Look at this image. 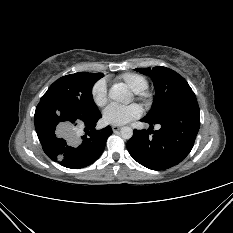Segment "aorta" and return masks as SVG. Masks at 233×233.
I'll return each instance as SVG.
<instances>
[{"instance_id": "1", "label": "aorta", "mask_w": 233, "mask_h": 233, "mask_svg": "<svg viewBox=\"0 0 233 233\" xmlns=\"http://www.w3.org/2000/svg\"><path fill=\"white\" fill-rule=\"evenodd\" d=\"M108 96L110 99L124 104H129L132 100L131 93L123 83L114 84L110 88ZM120 135L123 139H130L133 136V130L127 126L122 127Z\"/></svg>"}]
</instances>
